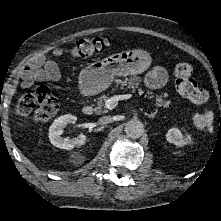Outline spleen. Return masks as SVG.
Segmentation results:
<instances>
[{"instance_id": "obj_1", "label": "spleen", "mask_w": 221, "mask_h": 221, "mask_svg": "<svg viewBox=\"0 0 221 221\" xmlns=\"http://www.w3.org/2000/svg\"><path fill=\"white\" fill-rule=\"evenodd\" d=\"M213 117L214 114L212 111H209L205 114H199L195 113L192 117L193 124L197 129H204L205 127H208L209 130L212 129V123H213Z\"/></svg>"}]
</instances>
